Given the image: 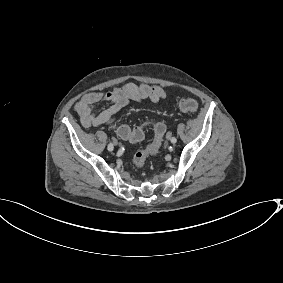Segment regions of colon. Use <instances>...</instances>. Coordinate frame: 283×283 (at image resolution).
Segmentation results:
<instances>
[{"label":"colon","mask_w":283,"mask_h":283,"mask_svg":"<svg viewBox=\"0 0 283 283\" xmlns=\"http://www.w3.org/2000/svg\"><path fill=\"white\" fill-rule=\"evenodd\" d=\"M179 108L183 112L192 113L198 108V102L193 98H183L179 101ZM152 124L154 126L155 136L153 141L143 150L138 151L133 158L134 166L138 169L144 167L146 159L150 155L158 153L165 133V126L161 122L146 120L142 125L131 129L127 125L112 124L111 128L115 129L120 137L131 142L140 141L144 136V127Z\"/></svg>","instance_id":"colon-1"}]
</instances>
